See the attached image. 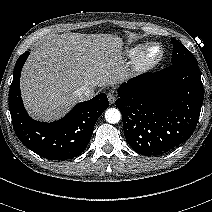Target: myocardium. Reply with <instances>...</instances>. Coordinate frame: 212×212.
<instances>
[{"instance_id":"obj_1","label":"myocardium","mask_w":212,"mask_h":212,"mask_svg":"<svg viewBox=\"0 0 212 212\" xmlns=\"http://www.w3.org/2000/svg\"><path fill=\"white\" fill-rule=\"evenodd\" d=\"M163 50L157 43H151L141 48L135 57L134 66L139 72H146L154 68L162 59Z\"/></svg>"}]
</instances>
